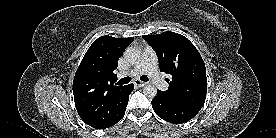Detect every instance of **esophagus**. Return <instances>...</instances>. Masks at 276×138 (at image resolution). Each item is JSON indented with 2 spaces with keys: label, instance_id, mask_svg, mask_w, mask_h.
I'll list each match as a JSON object with an SVG mask.
<instances>
[{
  "label": "esophagus",
  "instance_id": "obj_1",
  "mask_svg": "<svg viewBox=\"0 0 276 138\" xmlns=\"http://www.w3.org/2000/svg\"><path fill=\"white\" fill-rule=\"evenodd\" d=\"M134 84L137 85V86H139V87H143V86L146 85L145 82H142V81H139V80H135V81H134Z\"/></svg>",
  "mask_w": 276,
  "mask_h": 138
}]
</instances>
